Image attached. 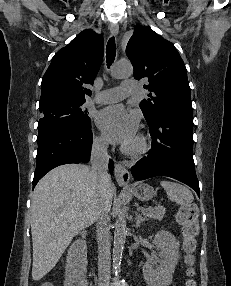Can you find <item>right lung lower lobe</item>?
I'll use <instances>...</instances> for the list:
<instances>
[{
    "label": "right lung lower lobe",
    "mask_w": 231,
    "mask_h": 286,
    "mask_svg": "<svg viewBox=\"0 0 231 286\" xmlns=\"http://www.w3.org/2000/svg\"><path fill=\"white\" fill-rule=\"evenodd\" d=\"M91 124L85 127L61 126L38 135L37 166L33 187L51 169L68 163L87 162L92 146ZM113 172V161H109Z\"/></svg>",
    "instance_id": "98d812e1"
}]
</instances>
